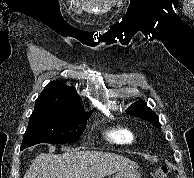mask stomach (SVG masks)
I'll list each match as a JSON object with an SVG mask.
<instances>
[{"mask_svg": "<svg viewBox=\"0 0 194 178\" xmlns=\"http://www.w3.org/2000/svg\"><path fill=\"white\" fill-rule=\"evenodd\" d=\"M113 178H141V174L133 170L120 171L113 176Z\"/></svg>", "mask_w": 194, "mask_h": 178, "instance_id": "stomach-1", "label": "stomach"}]
</instances>
